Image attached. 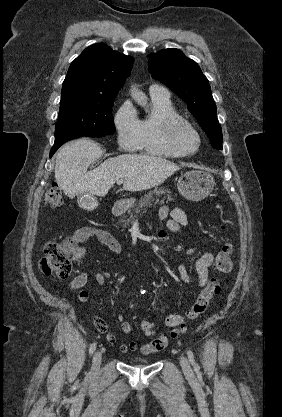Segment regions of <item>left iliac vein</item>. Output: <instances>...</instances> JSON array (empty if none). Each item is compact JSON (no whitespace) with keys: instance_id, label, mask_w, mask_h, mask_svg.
<instances>
[{"instance_id":"4c4485c4","label":"left iliac vein","mask_w":282,"mask_h":417,"mask_svg":"<svg viewBox=\"0 0 282 417\" xmlns=\"http://www.w3.org/2000/svg\"><path fill=\"white\" fill-rule=\"evenodd\" d=\"M180 365H181L182 370L184 371V373L186 375H191L192 374V369H191L190 363L185 356H181Z\"/></svg>"}]
</instances>
